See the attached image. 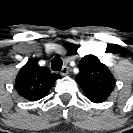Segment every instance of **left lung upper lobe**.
Listing matches in <instances>:
<instances>
[{
  "instance_id": "left-lung-upper-lobe-1",
  "label": "left lung upper lobe",
  "mask_w": 133,
  "mask_h": 133,
  "mask_svg": "<svg viewBox=\"0 0 133 133\" xmlns=\"http://www.w3.org/2000/svg\"><path fill=\"white\" fill-rule=\"evenodd\" d=\"M76 82L87 98L94 103H102L111 94L115 80L106 65L94 55H87L80 60Z\"/></svg>"
}]
</instances>
